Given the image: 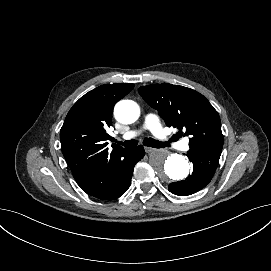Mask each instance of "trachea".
<instances>
[{"mask_svg":"<svg viewBox=\"0 0 271 271\" xmlns=\"http://www.w3.org/2000/svg\"><path fill=\"white\" fill-rule=\"evenodd\" d=\"M115 142L118 145L124 146L125 148H132L138 144V141L136 139H132V140L124 141V142H119V141H115ZM143 145L147 147L162 148V147H165L166 144L152 138H145L143 140Z\"/></svg>","mask_w":271,"mask_h":271,"instance_id":"3493384b","label":"trachea"}]
</instances>
